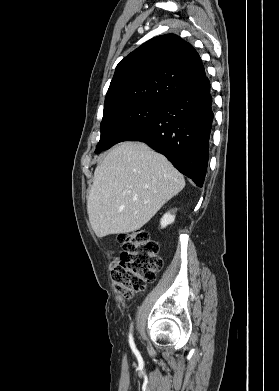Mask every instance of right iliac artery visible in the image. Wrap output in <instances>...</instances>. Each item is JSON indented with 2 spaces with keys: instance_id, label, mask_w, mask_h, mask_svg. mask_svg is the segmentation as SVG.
Returning <instances> with one entry per match:
<instances>
[{
  "instance_id": "82829eb1",
  "label": "right iliac artery",
  "mask_w": 279,
  "mask_h": 391,
  "mask_svg": "<svg viewBox=\"0 0 279 391\" xmlns=\"http://www.w3.org/2000/svg\"><path fill=\"white\" fill-rule=\"evenodd\" d=\"M129 343H130V346L133 350H135V344H134V341H133V337H132V334L130 333L129 335Z\"/></svg>"
}]
</instances>
